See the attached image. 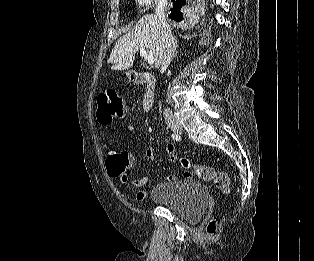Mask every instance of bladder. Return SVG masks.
<instances>
[{"mask_svg": "<svg viewBox=\"0 0 314 261\" xmlns=\"http://www.w3.org/2000/svg\"><path fill=\"white\" fill-rule=\"evenodd\" d=\"M150 199L188 219L199 217L208 207L206 186L193 180H178L156 184Z\"/></svg>", "mask_w": 314, "mask_h": 261, "instance_id": "1", "label": "bladder"}]
</instances>
